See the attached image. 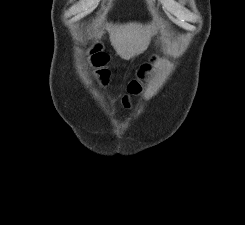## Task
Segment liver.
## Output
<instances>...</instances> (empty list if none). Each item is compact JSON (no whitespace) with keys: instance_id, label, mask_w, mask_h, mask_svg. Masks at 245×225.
Returning <instances> with one entry per match:
<instances>
[{"instance_id":"liver-1","label":"liver","mask_w":245,"mask_h":225,"mask_svg":"<svg viewBox=\"0 0 245 225\" xmlns=\"http://www.w3.org/2000/svg\"><path fill=\"white\" fill-rule=\"evenodd\" d=\"M97 27L98 24L96 23L95 34L99 37L100 34ZM106 29L109 32L113 48L122 59H130L145 50L153 35V30L150 26H143L138 23L125 25L107 24Z\"/></svg>"}]
</instances>
